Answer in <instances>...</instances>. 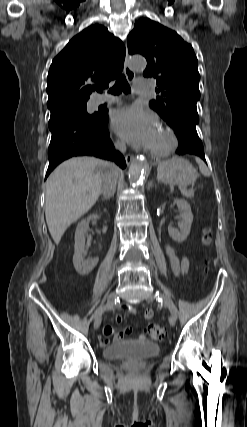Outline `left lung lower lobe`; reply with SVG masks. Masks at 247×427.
<instances>
[{
	"label": "left lung lower lobe",
	"instance_id": "left-lung-lower-lobe-1",
	"mask_svg": "<svg viewBox=\"0 0 247 427\" xmlns=\"http://www.w3.org/2000/svg\"><path fill=\"white\" fill-rule=\"evenodd\" d=\"M171 127L180 142L176 153L179 155H195L206 162L203 144L197 134L196 125L186 121H179Z\"/></svg>",
	"mask_w": 247,
	"mask_h": 427
}]
</instances>
